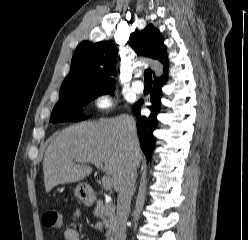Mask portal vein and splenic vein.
Wrapping results in <instances>:
<instances>
[{
	"label": "portal vein and splenic vein",
	"mask_w": 248,
	"mask_h": 240,
	"mask_svg": "<svg viewBox=\"0 0 248 240\" xmlns=\"http://www.w3.org/2000/svg\"><path fill=\"white\" fill-rule=\"evenodd\" d=\"M85 162H91L93 163L97 168H103V165L100 161H96V160H92V159H86L84 160ZM102 182H103V186L106 190H110L111 189V186H112V183H113V180L111 177L109 176H103V179H102Z\"/></svg>",
	"instance_id": "18ae733b"
}]
</instances>
